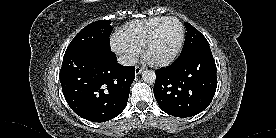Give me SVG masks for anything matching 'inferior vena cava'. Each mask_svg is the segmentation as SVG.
Masks as SVG:
<instances>
[{"label":"inferior vena cava","instance_id":"inferior-vena-cava-1","mask_svg":"<svg viewBox=\"0 0 276 138\" xmlns=\"http://www.w3.org/2000/svg\"><path fill=\"white\" fill-rule=\"evenodd\" d=\"M118 62L121 64V65H124V66H132V65H135L136 62H137V59L136 57L132 56V55H121L119 56L118 58Z\"/></svg>","mask_w":276,"mask_h":138}]
</instances>
